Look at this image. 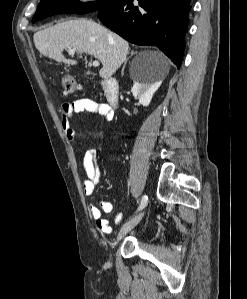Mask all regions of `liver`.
Masks as SVG:
<instances>
[{
	"instance_id": "6515ba94",
	"label": "liver",
	"mask_w": 247,
	"mask_h": 299,
	"mask_svg": "<svg viewBox=\"0 0 247 299\" xmlns=\"http://www.w3.org/2000/svg\"><path fill=\"white\" fill-rule=\"evenodd\" d=\"M34 43L41 55L76 65L77 61L66 59L65 48H73L79 53L93 55L102 63L99 75L103 79L110 78L126 60L129 44L122 37L113 33L92 20L75 19L58 23L44 30L37 31ZM157 62L161 78L167 76L169 65L167 58L160 52L148 51Z\"/></svg>"
}]
</instances>
